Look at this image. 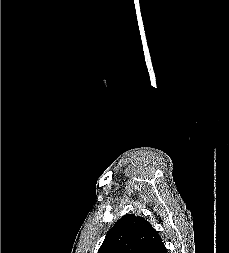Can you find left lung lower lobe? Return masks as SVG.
I'll return each instance as SVG.
<instances>
[{"instance_id": "obj_1", "label": "left lung lower lobe", "mask_w": 229, "mask_h": 253, "mask_svg": "<svg viewBox=\"0 0 229 253\" xmlns=\"http://www.w3.org/2000/svg\"><path fill=\"white\" fill-rule=\"evenodd\" d=\"M155 253H168L164 243L162 242L159 247L156 249Z\"/></svg>"}]
</instances>
